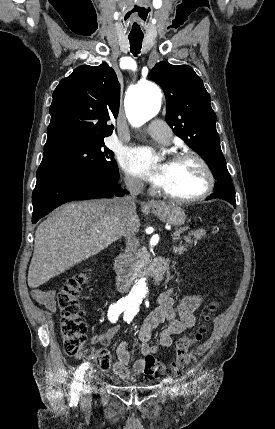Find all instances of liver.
Masks as SVG:
<instances>
[{
	"mask_svg": "<svg viewBox=\"0 0 275 429\" xmlns=\"http://www.w3.org/2000/svg\"><path fill=\"white\" fill-rule=\"evenodd\" d=\"M117 200L69 203L44 220L35 233L29 287H39L115 242L122 235L121 222L117 220ZM129 221L127 229L137 233L140 227L137 214Z\"/></svg>",
	"mask_w": 275,
	"mask_h": 429,
	"instance_id": "liver-1",
	"label": "liver"
}]
</instances>
